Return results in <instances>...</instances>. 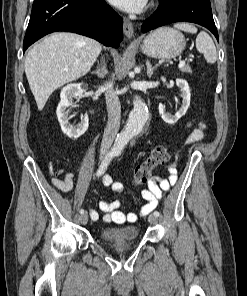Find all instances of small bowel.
<instances>
[{"label": "small bowel", "mask_w": 247, "mask_h": 296, "mask_svg": "<svg viewBox=\"0 0 247 296\" xmlns=\"http://www.w3.org/2000/svg\"><path fill=\"white\" fill-rule=\"evenodd\" d=\"M204 124H201L199 129L195 130L188 138L190 142L200 140L203 137ZM169 173L168 179L156 181L151 179L148 182V189L141 192L142 198L146 204L142 207L141 213L146 215L150 213L157 205L158 199L162 197L163 191H168L176 182V169L174 165L167 167ZM74 174L72 172L65 173L63 179L54 178L53 185L63 191H70L73 187ZM100 183L111 188L114 194L121 195L124 191V186L120 182H115L110 175H103L100 178ZM100 211L103 212L102 221L104 223L125 224L135 222L137 215L134 213H124L121 210V203L119 201H100L98 203ZM90 218L94 221L99 219V212L93 207L89 206Z\"/></svg>", "instance_id": "small-bowel-1"}]
</instances>
